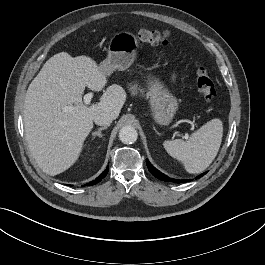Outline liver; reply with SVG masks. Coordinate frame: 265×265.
<instances>
[{
  "mask_svg": "<svg viewBox=\"0 0 265 265\" xmlns=\"http://www.w3.org/2000/svg\"><path fill=\"white\" fill-rule=\"evenodd\" d=\"M106 84L107 75L94 60L66 52L48 59L30 83L24 101L25 136L43 172L54 176L76 162L97 114L119 116L126 100L119 85L109 86L91 106L82 103L85 87L101 91ZM73 104L76 110H64Z\"/></svg>",
  "mask_w": 265,
  "mask_h": 265,
  "instance_id": "1",
  "label": "liver"
}]
</instances>
